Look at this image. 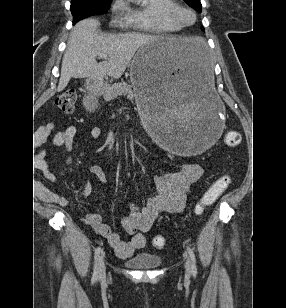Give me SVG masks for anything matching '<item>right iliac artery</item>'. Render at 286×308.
Masks as SVG:
<instances>
[{
  "label": "right iliac artery",
  "mask_w": 286,
  "mask_h": 308,
  "mask_svg": "<svg viewBox=\"0 0 286 308\" xmlns=\"http://www.w3.org/2000/svg\"><path fill=\"white\" fill-rule=\"evenodd\" d=\"M100 252H101V247H98L95 250V254H94V271H93V275H92V282L96 281L97 279V273H98V259L100 256Z\"/></svg>",
  "instance_id": "obj_1"
}]
</instances>
